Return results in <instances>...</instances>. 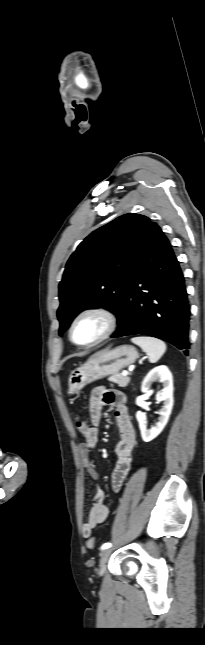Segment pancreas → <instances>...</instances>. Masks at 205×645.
I'll list each match as a JSON object with an SVG mask.
<instances>
[{
    "label": "pancreas",
    "mask_w": 205,
    "mask_h": 645,
    "mask_svg": "<svg viewBox=\"0 0 205 645\" xmlns=\"http://www.w3.org/2000/svg\"><path fill=\"white\" fill-rule=\"evenodd\" d=\"M110 382L118 384L120 387H126L128 383L130 382V378L128 376H123L122 373H117L108 378Z\"/></svg>",
    "instance_id": "cf45deb5"
}]
</instances>
